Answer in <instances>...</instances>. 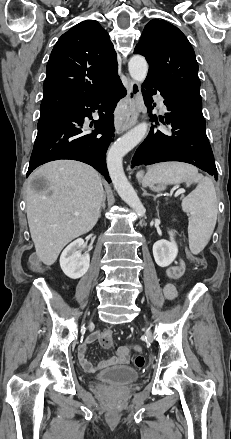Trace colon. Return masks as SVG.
<instances>
[{
    "mask_svg": "<svg viewBox=\"0 0 231 439\" xmlns=\"http://www.w3.org/2000/svg\"><path fill=\"white\" fill-rule=\"evenodd\" d=\"M32 264H33V266L37 267L36 263L33 262ZM100 342H101V345L103 347H106V348L110 347L111 344H112V333H111V331L104 332L103 335L101 336ZM145 364H146V360H145V358L142 355H138L135 358V365L138 368H143L145 366Z\"/></svg>",
    "mask_w": 231,
    "mask_h": 439,
    "instance_id": "colon-1",
    "label": "colon"
}]
</instances>
